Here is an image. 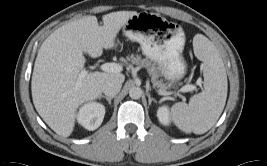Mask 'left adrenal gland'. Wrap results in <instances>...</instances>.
<instances>
[{"label": "left adrenal gland", "instance_id": "1", "mask_svg": "<svg viewBox=\"0 0 267 166\" xmlns=\"http://www.w3.org/2000/svg\"><path fill=\"white\" fill-rule=\"evenodd\" d=\"M147 97H148V102H149V105L153 102H156V100L154 98L151 97V95L147 92Z\"/></svg>", "mask_w": 267, "mask_h": 166}]
</instances>
